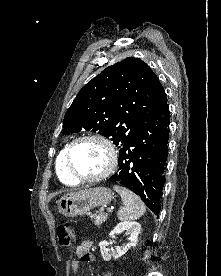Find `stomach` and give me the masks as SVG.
<instances>
[{
	"instance_id": "1",
	"label": "stomach",
	"mask_w": 221,
	"mask_h": 276,
	"mask_svg": "<svg viewBox=\"0 0 221 276\" xmlns=\"http://www.w3.org/2000/svg\"><path fill=\"white\" fill-rule=\"evenodd\" d=\"M113 193L109 188L96 187L67 194L58 201L59 212L67 217H75L89 212L94 207L109 204Z\"/></svg>"
}]
</instances>
